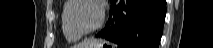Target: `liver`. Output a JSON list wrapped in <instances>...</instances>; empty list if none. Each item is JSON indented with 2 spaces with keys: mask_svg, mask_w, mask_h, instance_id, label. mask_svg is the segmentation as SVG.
I'll return each mask as SVG.
<instances>
[{
  "mask_svg": "<svg viewBox=\"0 0 213 48\" xmlns=\"http://www.w3.org/2000/svg\"><path fill=\"white\" fill-rule=\"evenodd\" d=\"M95 43H97V40H85L80 45H78V48L92 47Z\"/></svg>",
  "mask_w": 213,
  "mask_h": 48,
  "instance_id": "liver-1",
  "label": "liver"
}]
</instances>
